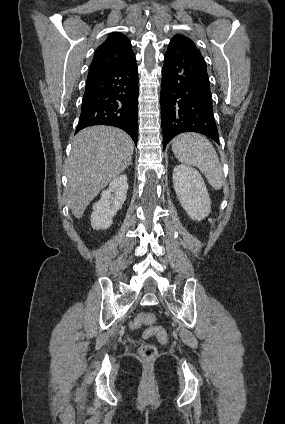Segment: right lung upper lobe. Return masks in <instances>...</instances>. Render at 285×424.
Wrapping results in <instances>:
<instances>
[{"mask_svg": "<svg viewBox=\"0 0 285 424\" xmlns=\"http://www.w3.org/2000/svg\"><path fill=\"white\" fill-rule=\"evenodd\" d=\"M135 59L130 40L123 34L111 33L93 57L89 75L102 73L125 65Z\"/></svg>", "mask_w": 285, "mask_h": 424, "instance_id": "right-lung-upper-lobe-1", "label": "right lung upper lobe"}]
</instances>
